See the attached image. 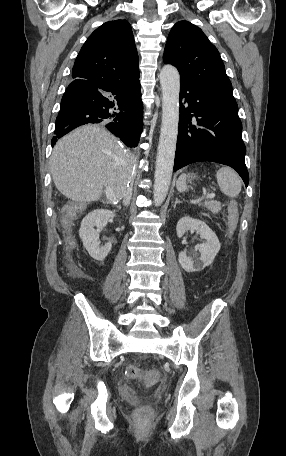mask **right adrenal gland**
Here are the masks:
<instances>
[{
  "instance_id": "obj_1",
  "label": "right adrenal gland",
  "mask_w": 286,
  "mask_h": 456,
  "mask_svg": "<svg viewBox=\"0 0 286 456\" xmlns=\"http://www.w3.org/2000/svg\"><path fill=\"white\" fill-rule=\"evenodd\" d=\"M118 209L121 210V206H120V205L118 206ZM123 210H124V209H123Z\"/></svg>"
}]
</instances>
